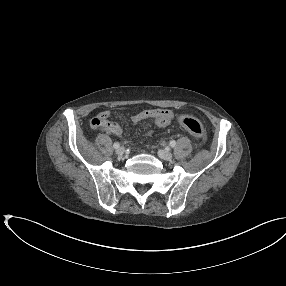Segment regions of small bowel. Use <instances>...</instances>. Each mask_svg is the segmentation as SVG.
Wrapping results in <instances>:
<instances>
[{
  "instance_id": "1",
  "label": "small bowel",
  "mask_w": 286,
  "mask_h": 286,
  "mask_svg": "<svg viewBox=\"0 0 286 286\" xmlns=\"http://www.w3.org/2000/svg\"><path fill=\"white\" fill-rule=\"evenodd\" d=\"M110 111H101L96 117L90 121L92 129H102L107 133L120 136L123 132L122 127L115 121L110 120ZM151 119L161 128L168 127L173 119V113L168 109H146L131 117L133 123H139L144 120Z\"/></svg>"
}]
</instances>
